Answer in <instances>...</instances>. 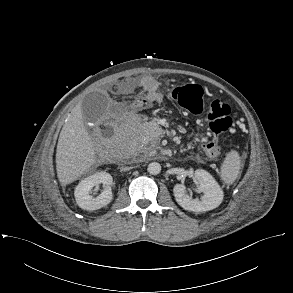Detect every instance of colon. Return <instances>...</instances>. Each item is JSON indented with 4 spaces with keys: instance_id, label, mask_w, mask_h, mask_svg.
I'll use <instances>...</instances> for the list:
<instances>
[{
    "instance_id": "obj_1",
    "label": "colon",
    "mask_w": 293,
    "mask_h": 293,
    "mask_svg": "<svg viewBox=\"0 0 293 293\" xmlns=\"http://www.w3.org/2000/svg\"><path fill=\"white\" fill-rule=\"evenodd\" d=\"M172 99L181 108L194 115H200L207 110L208 127L211 135L203 141L202 148L211 158L217 159L221 157L222 152L218 146V138L221 133L227 131L232 126L229 105L222 101L214 100L207 106L203 89L197 84H186L174 88L172 91ZM149 103L150 99L144 97L134 102L133 106H145ZM111 133L109 129L104 131V134L107 136H110Z\"/></svg>"
}]
</instances>
